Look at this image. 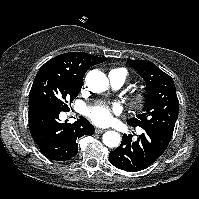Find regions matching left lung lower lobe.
<instances>
[{"label":"left lung lower lobe","instance_id":"left-lung-lower-lobe-1","mask_svg":"<svg viewBox=\"0 0 199 199\" xmlns=\"http://www.w3.org/2000/svg\"><path fill=\"white\" fill-rule=\"evenodd\" d=\"M172 137L165 133L144 129L137 141L132 140V135L124 134L118 148L110 152L109 160L115 167L137 172L147 168L166 150Z\"/></svg>","mask_w":199,"mask_h":199}]
</instances>
